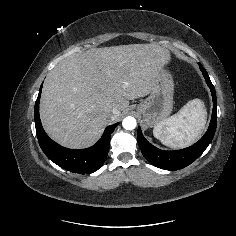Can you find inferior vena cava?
Segmentation results:
<instances>
[{"label":"inferior vena cava","mask_w":236,"mask_h":236,"mask_svg":"<svg viewBox=\"0 0 236 236\" xmlns=\"http://www.w3.org/2000/svg\"><path fill=\"white\" fill-rule=\"evenodd\" d=\"M117 114V110L116 109H113L112 112H111V116Z\"/></svg>","instance_id":"inferior-vena-cava-1"}]
</instances>
